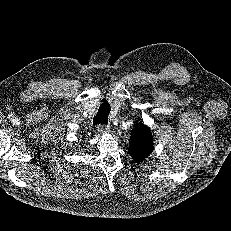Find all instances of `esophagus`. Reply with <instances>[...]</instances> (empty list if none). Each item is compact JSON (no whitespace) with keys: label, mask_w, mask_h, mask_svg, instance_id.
Returning a JSON list of instances; mask_svg holds the SVG:
<instances>
[{"label":"esophagus","mask_w":231,"mask_h":231,"mask_svg":"<svg viewBox=\"0 0 231 231\" xmlns=\"http://www.w3.org/2000/svg\"><path fill=\"white\" fill-rule=\"evenodd\" d=\"M109 126L106 124H102L100 126L97 127V133L98 134H103V133H107L109 131Z\"/></svg>","instance_id":"obj_1"}]
</instances>
